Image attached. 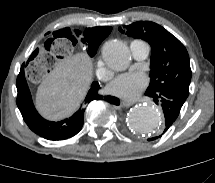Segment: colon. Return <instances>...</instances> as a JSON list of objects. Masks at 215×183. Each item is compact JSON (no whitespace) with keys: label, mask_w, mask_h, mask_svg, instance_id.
Returning <instances> with one entry per match:
<instances>
[{"label":"colon","mask_w":215,"mask_h":183,"mask_svg":"<svg viewBox=\"0 0 215 183\" xmlns=\"http://www.w3.org/2000/svg\"><path fill=\"white\" fill-rule=\"evenodd\" d=\"M82 43V34L74 26H64L36 43L24 63V72L32 80L49 78L72 51Z\"/></svg>","instance_id":"colon-1"}]
</instances>
